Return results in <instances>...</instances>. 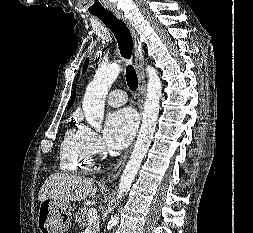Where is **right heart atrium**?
Returning a JSON list of instances; mask_svg holds the SVG:
<instances>
[{
    "instance_id": "obj_1",
    "label": "right heart atrium",
    "mask_w": 253,
    "mask_h": 233,
    "mask_svg": "<svg viewBox=\"0 0 253 233\" xmlns=\"http://www.w3.org/2000/svg\"><path fill=\"white\" fill-rule=\"evenodd\" d=\"M88 137L89 145L94 155H102L105 153V146L101 136L90 128H84Z\"/></svg>"
}]
</instances>
